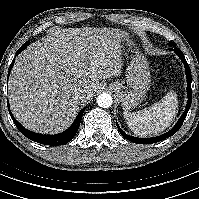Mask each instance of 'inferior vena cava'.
I'll use <instances>...</instances> for the list:
<instances>
[{
  "label": "inferior vena cava",
  "instance_id": "602c4592",
  "mask_svg": "<svg viewBox=\"0 0 199 199\" xmlns=\"http://www.w3.org/2000/svg\"><path fill=\"white\" fill-rule=\"evenodd\" d=\"M73 95L76 99H82L84 97V91L82 89H76Z\"/></svg>",
  "mask_w": 199,
  "mask_h": 199
}]
</instances>
